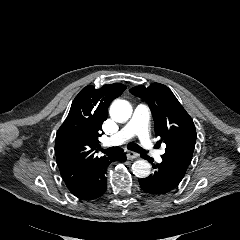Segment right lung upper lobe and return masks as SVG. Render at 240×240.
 Instances as JSON below:
<instances>
[{
	"mask_svg": "<svg viewBox=\"0 0 240 240\" xmlns=\"http://www.w3.org/2000/svg\"><path fill=\"white\" fill-rule=\"evenodd\" d=\"M126 86L120 83L100 89L86 86L75 97L69 114L56 134L55 154L61 176L69 190L76 187L106 158L95 155L101 125L108 116V107Z\"/></svg>",
	"mask_w": 240,
	"mask_h": 240,
	"instance_id": "obj_1",
	"label": "right lung upper lobe"
}]
</instances>
